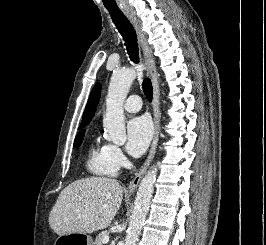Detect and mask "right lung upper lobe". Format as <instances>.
I'll use <instances>...</instances> for the list:
<instances>
[{"instance_id":"obj_1","label":"right lung upper lobe","mask_w":266,"mask_h":245,"mask_svg":"<svg viewBox=\"0 0 266 245\" xmlns=\"http://www.w3.org/2000/svg\"><path fill=\"white\" fill-rule=\"evenodd\" d=\"M100 94H101V86L100 84H96L94 88L92 89L91 94L89 96V99H88V102H87V105H86V108L83 114L81 125L88 124L90 120L93 118L97 105H98Z\"/></svg>"}]
</instances>
